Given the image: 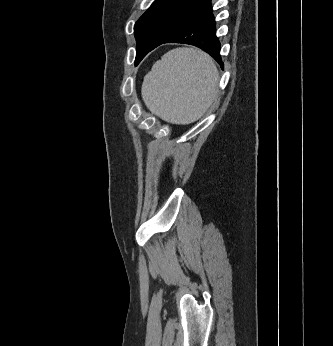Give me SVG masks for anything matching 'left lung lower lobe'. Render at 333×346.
I'll return each instance as SVG.
<instances>
[{
	"mask_svg": "<svg viewBox=\"0 0 333 346\" xmlns=\"http://www.w3.org/2000/svg\"><path fill=\"white\" fill-rule=\"evenodd\" d=\"M215 24L210 1L171 35L153 44L148 52L163 43L190 44L210 54L223 68L220 56V42L216 36Z\"/></svg>",
	"mask_w": 333,
	"mask_h": 346,
	"instance_id": "left-lung-lower-lobe-1",
	"label": "left lung lower lobe"
}]
</instances>
